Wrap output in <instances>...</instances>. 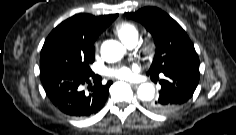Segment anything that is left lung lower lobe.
Returning <instances> with one entry per match:
<instances>
[{
    "instance_id": "0a47b994",
    "label": "left lung lower lobe",
    "mask_w": 236,
    "mask_h": 135,
    "mask_svg": "<svg viewBox=\"0 0 236 135\" xmlns=\"http://www.w3.org/2000/svg\"><path fill=\"white\" fill-rule=\"evenodd\" d=\"M159 98L150 103L153 111L170 113L184 105L192 96L199 82V59H193L186 66L174 67L162 72ZM148 74V73H147ZM156 77L158 74H148Z\"/></svg>"
}]
</instances>
